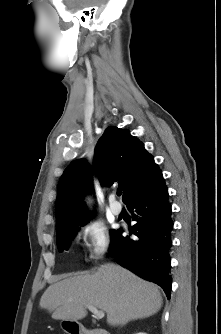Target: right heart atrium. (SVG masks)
<instances>
[{"label":"right heart atrium","instance_id":"obj_1","mask_svg":"<svg viewBox=\"0 0 221 334\" xmlns=\"http://www.w3.org/2000/svg\"><path fill=\"white\" fill-rule=\"evenodd\" d=\"M80 234L88 258L92 262L101 260L110 248V237L104 223L89 219L80 227Z\"/></svg>","mask_w":221,"mask_h":334}]
</instances>
